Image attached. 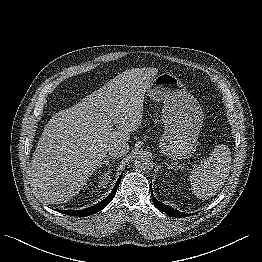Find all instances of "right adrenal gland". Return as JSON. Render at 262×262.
<instances>
[{
    "label": "right adrenal gland",
    "instance_id": "right-adrenal-gland-1",
    "mask_svg": "<svg viewBox=\"0 0 262 262\" xmlns=\"http://www.w3.org/2000/svg\"><path fill=\"white\" fill-rule=\"evenodd\" d=\"M111 159L114 160L115 158L107 156L101 164H105L106 166H108Z\"/></svg>",
    "mask_w": 262,
    "mask_h": 262
}]
</instances>
